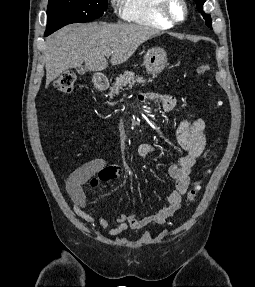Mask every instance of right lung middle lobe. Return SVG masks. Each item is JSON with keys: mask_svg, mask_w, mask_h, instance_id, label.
Listing matches in <instances>:
<instances>
[{"mask_svg": "<svg viewBox=\"0 0 255 287\" xmlns=\"http://www.w3.org/2000/svg\"><path fill=\"white\" fill-rule=\"evenodd\" d=\"M108 0H49L47 28L53 33L71 23H85L101 17L107 10Z\"/></svg>", "mask_w": 255, "mask_h": 287, "instance_id": "obj_1", "label": "right lung middle lobe"}]
</instances>
